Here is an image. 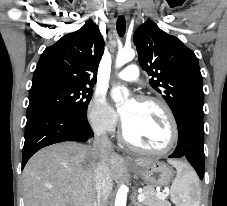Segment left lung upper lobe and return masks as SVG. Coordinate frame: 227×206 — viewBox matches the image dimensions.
Instances as JSON below:
<instances>
[{"label":"left lung upper lobe","mask_w":227,"mask_h":206,"mask_svg":"<svg viewBox=\"0 0 227 206\" xmlns=\"http://www.w3.org/2000/svg\"><path fill=\"white\" fill-rule=\"evenodd\" d=\"M139 63L150 85L165 99L178 123L184 114L204 115L203 80L194 52L153 21L140 25L133 37Z\"/></svg>","instance_id":"obj_1"}]
</instances>
